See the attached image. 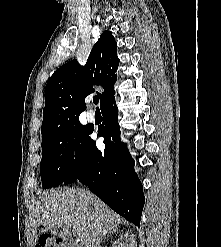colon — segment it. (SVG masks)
<instances>
[{
	"label": "colon",
	"instance_id": "5ec220e1",
	"mask_svg": "<svg viewBox=\"0 0 221 247\" xmlns=\"http://www.w3.org/2000/svg\"><path fill=\"white\" fill-rule=\"evenodd\" d=\"M36 247H64L60 242L53 241L46 238L43 242H40Z\"/></svg>",
	"mask_w": 221,
	"mask_h": 247
}]
</instances>
